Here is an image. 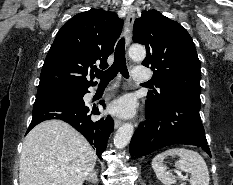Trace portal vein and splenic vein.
Listing matches in <instances>:
<instances>
[{
  "label": "portal vein and splenic vein",
  "instance_id": "obj_1",
  "mask_svg": "<svg viewBox=\"0 0 233 185\" xmlns=\"http://www.w3.org/2000/svg\"><path fill=\"white\" fill-rule=\"evenodd\" d=\"M180 178H183V175L179 171H175Z\"/></svg>",
  "mask_w": 233,
  "mask_h": 185
}]
</instances>
